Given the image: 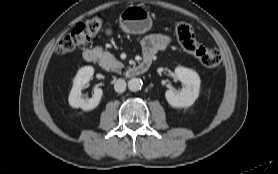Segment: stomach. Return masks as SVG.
I'll return each instance as SVG.
<instances>
[{
  "instance_id": "1",
  "label": "stomach",
  "mask_w": 278,
  "mask_h": 174,
  "mask_svg": "<svg viewBox=\"0 0 278 174\" xmlns=\"http://www.w3.org/2000/svg\"><path fill=\"white\" fill-rule=\"evenodd\" d=\"M119 23L122 30L130 34L145 33L152 27L149 11L139 5L126 7L120 14Z\"/></svg>"
}]
</instances>
